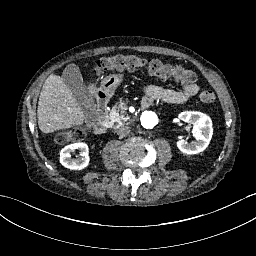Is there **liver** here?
I'll return each mask as SVG.
<instances>
[{
    "instance_id": "1",
    "label": "liver",
    "mask_w": 256,
    "mask_h": 256,
    "mask_svg": "<svg viewBox=\"0 0 256 256\" xmlns=\"http://www.w3.org/2000/svg\"><path fill=\"white\" fill-rule=\"evenodd\" d=\"M96 95L98 88L88 87ZM38 126L43 133L67 129L81 125L85 120L84 113L73 93L63 83L62 78L51 74L44 82L37 108Z\"/></svg>"
}]
</instances>
